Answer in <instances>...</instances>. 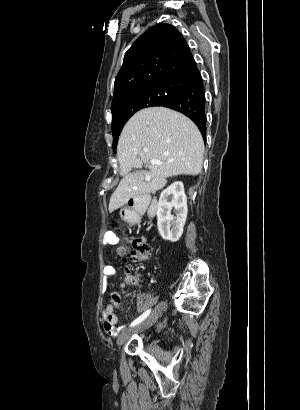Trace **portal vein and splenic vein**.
<instances>
[{"label": "portal vein and splenic vein", "mask_w": 300, "mask_h": 410, "mask_svg": "<svg viewBox=\"0 0 300 410\" xmlns=\"http://www.w3.org/2000/svg\"><path fill=\"white\" fill-rule=\"evenodd\" d=\"M150 163H151V164H162V162H160L159 160H156V159H152V160L150 161Z\"/></svg>", "instance_id": "obj_1"}]
</instances>
